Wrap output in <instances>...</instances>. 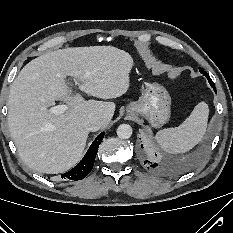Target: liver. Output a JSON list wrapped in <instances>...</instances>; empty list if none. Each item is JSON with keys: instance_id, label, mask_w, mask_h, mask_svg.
Returning a JSON list of instances; mask_svg holds the SVG:
<instances>
[{"instance_id": "6515ba94", "label": "liver", "mask_w": 233, "mask_h": 233, "mask_svg": "<svg viewBox=\"0 0 233 233\" xmlns=\"http://www.w3.org/2000/svg\"><path fill=\"white\" fill-rule=\"evenodd\" d=\"M133 60L129 53L113 46L73 47L43 54L19 72L8 98V125L17 151L34 171L63 173L82 157L89 131L82 121L96 115L105 128L115 103L84 100L74 93L69 80L93 97L113 99L130 86ZM55 101L67 109L52 114Z\"/></svg>"}]
</instances>
